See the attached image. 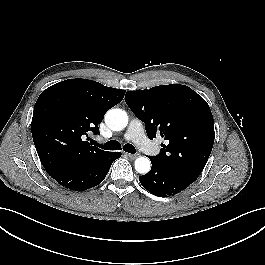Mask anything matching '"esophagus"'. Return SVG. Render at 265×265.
<instances>
[{"label":"esophagus","mask_w":265,"mask_h":265,"mask_svg":"<svg viewBox=\"0 0 265 265\" xmlns=\"http://www.w3.org/2000/svg\"><path fill=\"white\" fill-rule=\"evenodd\" d=\"M126 156H128L130 159H135L138 157V154H130V153H125Z\"/></svg>","instance_id":"esophagus-1"}]
</instances>
